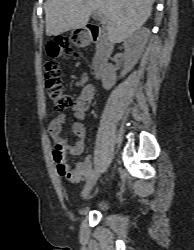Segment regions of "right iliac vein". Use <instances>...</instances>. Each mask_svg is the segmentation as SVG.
I'll return each mask as SVG.
<instances>
[{
	"label": "right iliac vein",
	"mask_w": 194,
	"mask_h": 250,
	"mask_svg": "<svg viewBox=\"0 0 194 250\" xmlns=\"http://www.w3.org/2000/svg\"><path fill=\"white\" fill-rule=\"evenodd\" d=\"M98 179H99V171L96 169L95 171H93L92 175L87 180V183L82 192L83 198H86L90 194L91 190L97 183Z\"/></svg>",
	"instance_id": "obj_1"
}]
</instances>
